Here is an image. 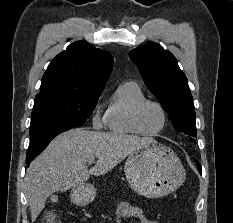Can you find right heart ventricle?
<instances>
[{
	"label": "right heart ventricle",
	"mask_w": 233,
	"mask_h": 223,
	"mask_svg": "<svg viewBox=\"0 0 233 223\" xmlns=\"http://www.w3.org/2000/svg\"><path fill=\"white\" fill-rule=\"evenodd\" d=\"M145 99L140 85L135 81H127L118 86L104 114L107 129L120 135H138L131 123L134 106Z\"/></svg>",
	"instance_id": "obj_1"
}]
</instances>
